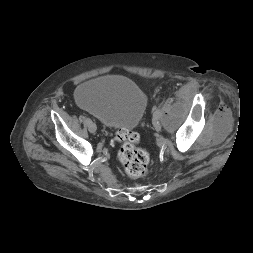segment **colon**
Returning <instances> with one entry per match:
<instances>
[{
	"mask_svg": "<svg viewBox=\"0 0 253 253\" xmlns=\"http://www.w3.org/2000/svg\"><path fill=\"white\" fill-rule=\"evenodd\" d=\"M116 138L121 143L118 158L125 172L134 179L146 177L150 159L148 153L138 146V134L129 130H118Z\"/></svg>",
	"mask_w": 253,
	"mask_h": 253,
	"instance_id": "5ec220e1",
	"label": "colon"
}]
</instances>
